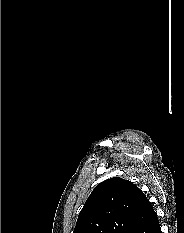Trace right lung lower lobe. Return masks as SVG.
Instances as JSON below:
<instances>
[{
  "label": "right lung lower lobe",
  "mask_w": 184,
  "mask_h": 233,
  "mask_svg": "<svg viewBox=\"0 0 184 233\" xmlns=\"http://www.w3.org/2000/svg\"><path fill=\"white\" fill-rule=\"evenodd\" d=\"M131 233H162L156 212L154 211Z\"/></svg>",
  "instance_id": "right-lung-lower-lobe-1"
}]
</instances>
